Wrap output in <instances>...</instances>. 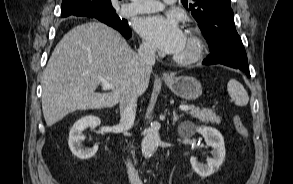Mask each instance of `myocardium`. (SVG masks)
<instances>
[{
	"mask_svg": "<svg viewBox=\"0 0 293 184\" xmlns=\"http://www.w3.org/2000/svg\"><path fill=\"white\" fill-rule=\"evenodd\" d=\"M185 32L193 38L194 50L188 56H173V60L180 65H190L198 62L203 57L207 48L206 39L199 28L188 27Z\"/></svg>",
	"mask_w": 293,
	"mask_h": 184,
	"instance_id": "1",
	"label": "myocardium"
}]
</instances>
